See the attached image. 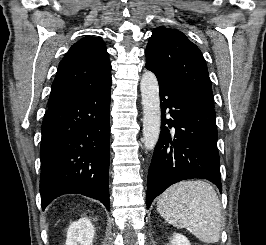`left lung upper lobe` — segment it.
I'll use <instances>...</instances> for the list:
<instances>
[{
  "label": "left lung upper lobe",
  "mask_w": 266,
  "mask_h": 245,
  "mask_svg": "<svg viewBox=\"0 0 266 245\" xmlns=\"http://www.w3.org/2000/svg\"><path fill=\"white\" fill-rule=\"evenodd\" d=\"M146 67L179 90L213 108V93L206 62L199 48L182 32L166 27L149 38Z\"/></svg>",
  "instance_id": "obj_1"
}]
</instances>
